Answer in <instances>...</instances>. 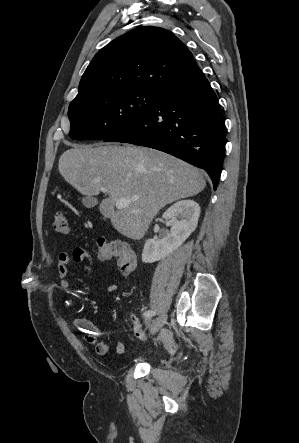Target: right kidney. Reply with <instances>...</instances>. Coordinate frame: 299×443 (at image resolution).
<instances>
[{
  "mask_svg": "<svg viewBox=\"0 0 299 443\" xmlns=\"http://www.w3.org/2000/svg\"><path fill=\"white\" fill-rule=\"evenodd\" d=\"M199 215L200 207L194 200H181L170 206L162 216L169 220L170 233L160 240L148 239L142 252V261H159L181 246L196 229Z\"/></svg>",
  "mask_w": 299,
  "mask_h": 443,
  "instance_id": "ca27d5eb",
  "label": "right kidney"
}]
</instances>
